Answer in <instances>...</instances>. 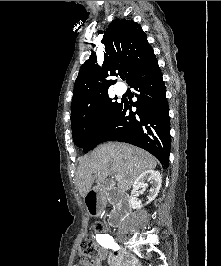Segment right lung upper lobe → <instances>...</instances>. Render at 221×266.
<instances>
[{
    "label": "right lung upper lobe",
    "mask_w": 221,
    "mask_h": 266,
    "mask_svg": "<svg viewBox=\"0 0 221 266\" xmlns=\"http://www.w3.org/2000/svg\"><path fill=\"white\" fill-rule=\"evenodd\" d=\"M102 43L105 45L103 67L96 64V55L92 53L80 68L74 85L71 118L88 112L115 83L102 79V76L107 78L123 73L129 83L135 72L156 59L145 32L134 21L113 20L105 31Z\"/></svg>",
    "instance_id": "cb5924a9"
}]
</instances>
